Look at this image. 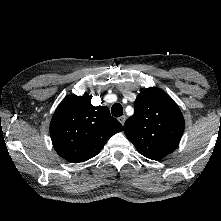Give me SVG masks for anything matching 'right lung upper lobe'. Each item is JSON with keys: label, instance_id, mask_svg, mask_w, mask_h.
I'll return each mask as SVG.
<instances>
[{"label": "right lung upper lobe", "instance_id": "obj_1", "mask_svg": "<svg viewBox=\"0 0 221 221\" xmlns=\"http://www.w3.org/2000/svg\"><path fill=\"white\" fill-rule=\"evenodd\" d=\"M90 100L88 94L67 97L52 117L53 146L69 162H84L96 156L112 135L123 130L107 107H94Z\"/></svg>", "mask_w": 221, "mask_h": 221}]
</instances>
